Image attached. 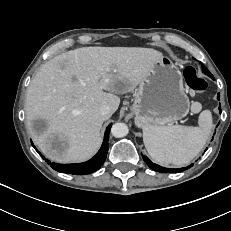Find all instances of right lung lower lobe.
Returning a JSON list of instances; mask_svg holds the SVG:
<instances>
[{
    "label": "right lung lower lobe",
    "mask_w": 231,
    "mask_h": 231,
    "mask_svg": "<svg viewBox=\"0 0 231 231\" xmlns=\"http://www.w3.org/2000/svg\"><path fill=\"white\" fill-rule=\"evenodd\" d=\"M111 125L112 124H110L105 131L103 144L100 150L89 161L84 162V163H74V164H57V163H51L49 160H46V161L54 170L61 172V173L85 175V174H89V173H92L98 170L103 165L107 157V152L109 149L108 139H109V132L111 129ZM33 147L35 148L34 145ZM42 158L45 159L43 156Z\"/></svg>",
    "instance_id": "1"
}]
</instances>
